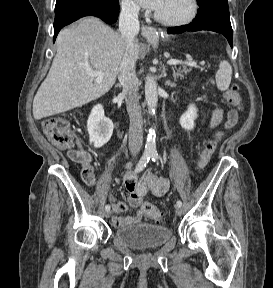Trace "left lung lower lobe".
Returning a JSON list of instances; mask_svg holds the SVG:
<instances>
[{
    "label": "left lung lower lobe",
    "mask_w": 273,
    "mask_h": 288,
    "mask_svg": "<svg viewBox=\"0 0 273 288\" xmlns=\"http://www.w3.org/2000/svg\"><path fill=\"white\" fill-rule=\"evenodd\" d=\"M210 30L223 34L230 46L232 42V27L227 0H220L200 6L197 16L188 25L171 27L167 29L169 34L182 33L184 31Z\"/></svg>",
    "instance_id": "1"
}]
</instances>
